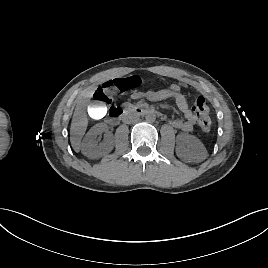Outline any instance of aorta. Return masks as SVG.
<instances>
[{
	"label": "aorta",
	"mask_w": 268,
	"mask_h": 268,
	"mask_svg": "<svg viewBox=\"0 0 268 268\" xmlns=\"http://www.w3.org/2000/svg\"><path fill=\"white\" fill-rule=\"evenodd\" d=\"M145 119L147 122L151 123V122H154L156 120V115L155 113L153 112H148L146 113L145 115Z\"/></svg>",
	"instance_id": "aorta-1"
}]
</instances>
